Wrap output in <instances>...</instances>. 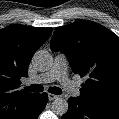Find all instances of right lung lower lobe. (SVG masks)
Here are the masks:
<instances>
[{"label": "right lung lower lobe", "mask_w": 119, "mask_h": 119, "mask_svg": "<svg viewBox=\"0 0 119 119\" xmlns=\"http://www.w3.org/2000/svg\"><path fill=\"white\" fill-rule=\"evenodd\" d=\"M48 101L47 93L39 94L33 108L24 119H37L39 114L43 111Z\"/></svg>", "instance_id": "obj_1"}]
</instances>
